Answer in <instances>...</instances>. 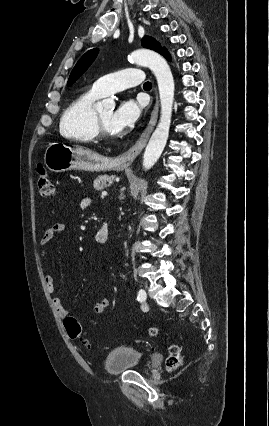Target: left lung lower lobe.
Here are the masks:
<instances>
[{
    "instance_id": "left-lung-lower-lobe-1",
    "label": "left lung lower lobe",
    "mask_w": 269,
    "mask_h": 426,
    "mask_svg": "<svg viewBox=\"0 0 269 426\" xmlns=\"http://www.w3.org/2000/svg\"><path fill=\"white\" fill-rule=\"evenodd\" d=\"M160 54L163 55L167 60H170V54L165 48L160 51Z\"/></svg>"
}]
</instances>
